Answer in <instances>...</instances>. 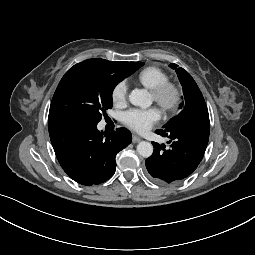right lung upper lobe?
Segmentation results:
<instances>
[{
  "label": "right lung upper lobe",
  "mask_w": 255,
  "mask_h": 255,
  "mask_svg": "<svg viewBox=\"0 0 255 255\" xmlns=\"http://www.w3.org/2000/svg\"><path fill=\"white\" fill-rule=\"evenodd\" d=\"M137 62H116V61H107L104 59H88L83 62H80L74 65L71 69H77L84 66H106L112 67L119 70H125L127 67L136 64Z\"/></svg>",
  "instance_id": "1"
}]
</instances>
